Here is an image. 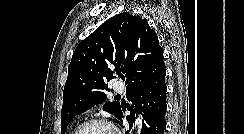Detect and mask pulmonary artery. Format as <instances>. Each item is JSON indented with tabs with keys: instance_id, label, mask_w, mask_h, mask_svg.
<instances>
[{
	"instance_id": "obj_1",
	"label": "pulmonary artery",
	"mask_w": 244,
	"mask_h": 134,
	"mask_svg": "<svg viewBox=\"0 0 244 134\" xmlns=\"http://www.w3.org/2000/svg\"><path fill=\"white\" fill-rule=\"evenodd\" d=\"M113 88L118 93H123L125 91V86L122 82L115 83Z\"/></svg>"
}]
</instances>
